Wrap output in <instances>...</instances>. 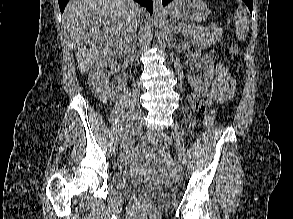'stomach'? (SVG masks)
<instances>
[{"label": "stomach", "instance_id": "stomach-1", "mask_svg": "<svg viewBox=\"0 0 293 219\" xmlns=\"http://www.w3.org/2000/svg\"><path fill=\"white\" fill-rule=\"evenodd\" d=\"M172 17L191 23L204 21L209 14V9L203 0H176L169 7Z\"/></svg>", "mask_w": 293, "mask_h": 219}]
</instances>
